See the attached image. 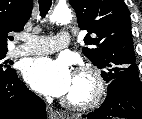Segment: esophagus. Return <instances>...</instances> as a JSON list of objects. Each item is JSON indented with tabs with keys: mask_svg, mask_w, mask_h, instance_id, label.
<instances>
[{
	"mask_svg": "<svg viewBox=\"0 0 142 119\" xmlns=\"http://www.w3.org/2000/svg\"><path fill=\"white\" fill-rule=\"evenodd\" d=\"M47 109L50 119H60L59 113L55 111L52 107H48Z\"/></svg>",
	"mask_w": 142,
	"mask_h": 119,
	"instance_id": "obj_1",
	"label": "esophagus"
}]
</instances>
